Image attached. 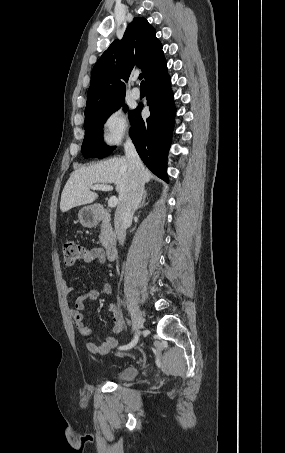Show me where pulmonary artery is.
Returning <instances> with one entry per match:
<instances>
[{
    "label": "pulmonary artery",
    "mask_w": 285,
    "mask_h": 453,
    "mask_svg": "<svg viewBox=\"0 0 285 453\" xmlns=\"http://www.w3.org/2000/svg\"><path fill=\"white\" fill-rule=\"evenodd\" d=\"M130 94L135 99H138L141 96V92H140V89L138 87H134L131 90Z\"/></svg>",
    "instance_id": "1"
}]
</instances>
